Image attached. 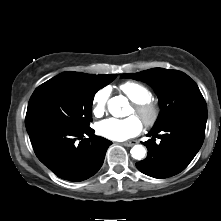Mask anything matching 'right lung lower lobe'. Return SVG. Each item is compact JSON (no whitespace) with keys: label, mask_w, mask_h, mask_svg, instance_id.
<instances>
[{"label":"right lung lower lobe","mask_w":221,"mask_h":221,"mask_svg":"<svg viewBox=\"0 0 221 221\" xmlns=\"http://www.w3.org/2000/svg\"><path fill=\"white\" fill-rule=\"evenodd\" d=\"M26 129L39 160L58 177L74 182L96 174L112 144L103 137H91V128L79 131L54 123H37Z\"/></svg>","instance_id":"98d812e1"}]
</instances>
